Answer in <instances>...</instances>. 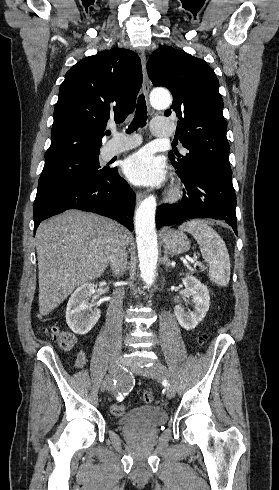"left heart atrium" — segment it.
Instances as JSON below:
<instances>
[{
  "mask_svg": "<svg viewBox=\"0 0 279 490\" xmlns=\"http://www.w3.org/2000/svg\"><path fill=\"white\" fill-rule=\"evenodd\" d=\"M122 171L133 185L141 187H159L166 177L165 162L147 149L128 156Z\"/></svg>",
  "mask_w": 279,
  "mask_h": 490,
  "instance_id": "1",
  "label": "left heart atrium"
}]
</instances>
